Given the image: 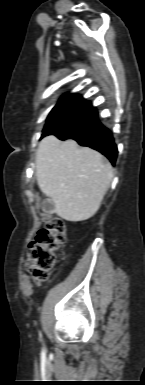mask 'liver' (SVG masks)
<instances>
[{"mask_svg": "<svg viewBox=\"0 0 145 385\" xmlns=\"http://www.w3.org/2000/svg\"><path fill=\"white\" fill-rule=\"evenodd\" d=\"M36 178L40 190L54 204V212L67 221L91 218L113 179L111 164L97 151L75 140L49 135L36 152Z\"/></svg>", "mask_w": 145, "mask_h": 385, "instance_id": "liver-1", "label": "liver"}]
</instances>
